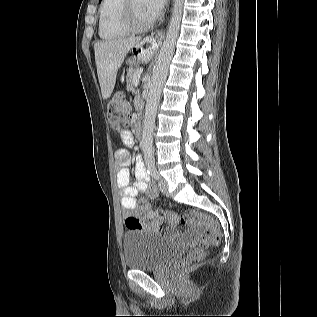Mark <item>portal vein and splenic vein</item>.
I'll use <instances>...</instances> for the list:
<instances>
[{
	"label": "portal vein and splenic vein",
	"mask_w": 317,
	"mask_h": 317,
	"mask_svg": "<svg viewBox=\"0 0 317 317\" xmlns=\"http://www.w3.org/2000/svg\"><path fill=\"white\" fill-rule=\"evenodd\" d=\"M142 71H143L142 68H140V69H138V70L136 71L135 78H134L135 87H136V86L138 85V83H139V79H140V76H141V74H142Z\"/></svg>",
	"instance_id": "18ae733b"
}]
</instances>
